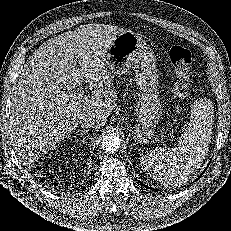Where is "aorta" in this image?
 <instances>
[{
    "label": "aorta",
    "instance_id": "obj_1",
    "mask_svg": "<svg viewBox=\"0 0 231 231\" xmlns=\"http://www.w3.org/2000/svg\"><path fill=\"white\" fill-rule=\"evenodd\" d=\"M121 145V139L116 133H111L104 136L101 142V148L106 153H115Z\"/></svg>",
    "mask_w": 231,
    "mask_h": 231
}]
</instances>
